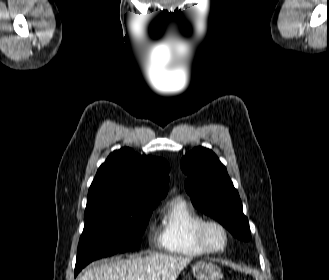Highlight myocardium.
I'll list each match as a JSON object with an SVG mask.
<instances>
[{"mask_svg":"<svg viewBox=\"0 0 329 280\" xmlns=\"http://www.w3.org/2000/svg\"><path fill=\"white\" fill-rule=\"evenodd\" d=\"M210 227L218 228L224 235V244L220 248L213 247L207 239V231ZM229 231L226 226L215 219H204L196 229V240L198 244L208 253L218 254L226 250L229 244Z\"/></svg>","mask_w":329,"mask_h":280,"instance_id":"obj_1","label":"myocardium"}]
</instances>
